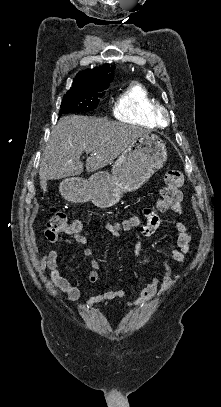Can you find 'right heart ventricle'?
<instances>
[{
  "instance_id": "1",
  "label": "right heart ventricle",
  "mask_w": 221,
  "mask_h": 407,
  "mask_svg": "<svg viewBox=\"0 0 221 407\" xmlns=\"http://www.w3.org/2000/svg\"><path fill=\"white\" fill-rule=\"evenodd\" d=\"M157 106L158 100L151 91L144 84L133 82L116 95L111 110L122 122L153 126Z\"/></svg>"
}]
</instances>
